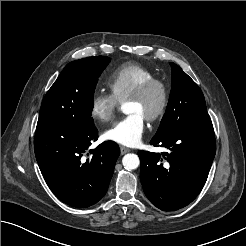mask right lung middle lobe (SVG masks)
I'll list each match as a JSON object with an SVG mask.
<instances>
[{
  "label": "right lung middle lobe",
  "mask_w": 246,
  "mask_h": 246,
  "mask_svg": "<svg viewBox=\"0 0 246 246\" xmlns=\"http://www.w3.org/2000/svg\"><path fill=\"white\" fill-rule=\"evenodd\" d=\"M109 62V57L96 56L67 64L43 100L37 125L93 127L94 90Z\"/></svg>",
  "instance_id": "right-lung-middle-lobe-1"
}]
</instances>
